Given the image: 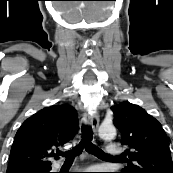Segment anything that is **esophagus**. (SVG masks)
I'll list each match as a JSON object with an SVG mask.
<instances>
[{"label":"esophagus","instance_id":"1","mask_svg":"<svg viewBox=\"0 0 173 173\" xmlns=\"http://www.w3.org/2000/svg\"><path fill=\"white\" fill-rule=\"evenodd\" d=\"M83 122L85 125H90L93 131L96 133L99 126V115L98 113H88L83 114Z\"/></svg>","mask_w":173,"mask_h":173}]
</instances>
